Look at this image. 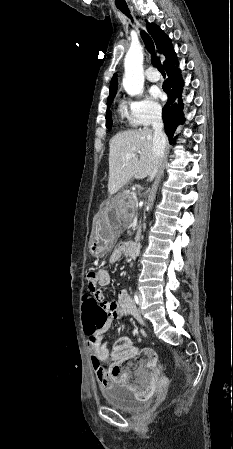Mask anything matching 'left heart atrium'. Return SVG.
<instances>
[{
	"instance_id": "39dd6f15",
	"label": "left heart atrium",
	"mask_w": 233,
	"mask_h": 449,
	"mask_svg": "<svg viewBox=\"0 0 233 449\" xmlns=\"http://www.w3.org/2000/svg\"><path fill=\"white\" fill-rule=\"evenodd\" d=\"M150 93H151V95H152L154 98H159V97H161V92H160V90H159L157 87H152V88L150 89Z\"/></svg>"
}]
</instances>
